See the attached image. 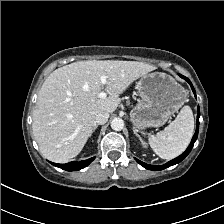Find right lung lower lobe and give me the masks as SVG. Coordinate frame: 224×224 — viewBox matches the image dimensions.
<instances>
[{"label":"right lung lower lobe","instance_id":"obj_1","mask_svg":"<svg viewBox=\"0 0 224 224\" xmlns=\"http://www.w3.org/2000/svg\"><path fill=\"white\" fill-rule=\"evenodd\" d=\"M94 160L93 158H90L86 161L83 162H76V161H72L70 163L67 164H56V163H52L54 166L59 167L61 169H64L66 171H75V170H80L85 168L86 166H88L92 161Z\"/></svg>","mask_w":224,"mask_h":224}]
</instances>
